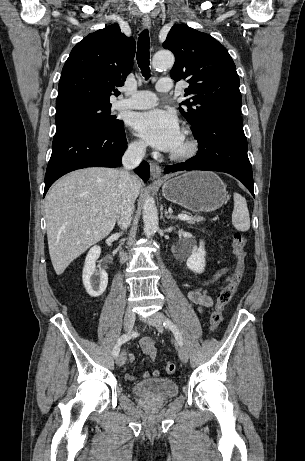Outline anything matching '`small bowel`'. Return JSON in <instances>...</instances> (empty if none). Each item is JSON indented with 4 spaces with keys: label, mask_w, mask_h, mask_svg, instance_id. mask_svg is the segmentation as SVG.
Segmentation results:
<instances>
[{
    "label": "small bowel",
    "mask_w": 305,
    "mask_h": 461,
    "mask_svg": "<svg viewBox=\"0 0 305 461\" xmlns=\"http://www.w3.org/2000/svg\"><path fill=\"white\" fill-rule=\"evenodd\" d=\"M229 271V268L224 267L217 270L210 278L197 282L193 285V287L188 291V298L189 300L196 305L200 310L204 308H209L213 306L214 300L212 296L209 295L207 292V287L211 284L219 280H223V282L227 281L229 278L226 276ZM140 346L144 353L148 354L152 360L156 359L157 356V349L155 346V340L151 337H144L140 340ZM128 358L131 362L135 360V355L130 353ZM159 370H154L152 372L153 376L159 375ZM148 376L147 372L140 374L141 378H145ZM135 377L132 375H127L128 380H133Z\"/></svg>",
    "instance_id": "obj_1"
}]
</instances>
